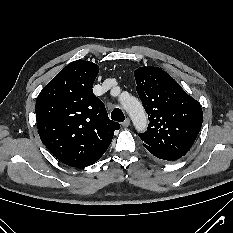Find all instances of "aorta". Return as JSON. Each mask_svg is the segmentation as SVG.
I'll use <instances>...</instances> for the list:
<instances>
[{
    "instance_id": "1",
    "label": "aorta",
    "mask_w": 233,
    "mask_h": 233,
    "mask_svg": "<svg viewBox=\"0 0 233 233\" xmlns=\"http://www.w3.org/2000/svg\"><path fill=\"white\" fill-rule=\"evenodd\" d=\"M126 112L132 119L135 129L138 132H144L147 128V116L141 102L135 97H128L122 102Z\"/></svg>"
}]
</instances>
